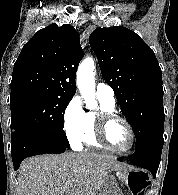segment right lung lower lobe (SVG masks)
Segmentation results:
<instances>
[{
	"instance_id": "98d812e1",
	"label": "right lung lower lobe",
	"mask_w": 178,
	"mask_h": 195,
	"mask_svg": "<svg viewBox=\"0 0 178 195\" xmlns=\"http://www.w3.org/2000/svg\"><path fill=\"white\" fill-rule=\"evenodd\" d=\"M69 148L68 140L55 131L38 133H18L11 138V156L14 169L17 170L23 159L50 153H63Z\"/></svg>"
}]
</instances>
